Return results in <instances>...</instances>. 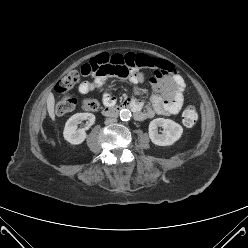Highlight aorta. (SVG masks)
<instances>
[{
  "label": "aorta",
  "mask_w": 248,
  "mask_h": 248,
  "mask_svg": "<svg viewBox=\"0 0 248 248\" xmlns=\"http://www.w3.org/2000/svg\"><path fill=\"white\" fill-rule=\"evenodd\" d=\"M119 116L122 121H128L131 118V112L128 109H122Z\"/></svg>",
  "instance_id": "1"
}]
</instances>
